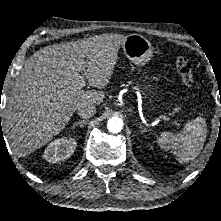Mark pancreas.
Wrapping results in <instances>:
<instances>
[{"label":"pancreas","instance_id":"obj_1","mask_svg":"<svg viewBox=\"0 0 221 221\" xmlns=\"http://www.w3.org/2000/svg\"><path fill=\"white\" fill-rule=\"evenodd\" d=\"M129 85H133V83L129 81L128 84H122V86H129ZM134 88H137V87H134Z\"/></svg>","mask_w":221,"mask_h":221}]
</instances>
